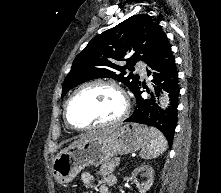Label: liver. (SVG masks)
Here are the masks:
<instances>
[{"label": "liver", "instance_id": "liver-1", "mask_svg": "<svg viewBox=\"0 0 221 193\" xmlns=\"http://www.w3.org/2000/svg\"><path fill=\"white\" fill-rule=\"evenodd\" d=\"M108 131H109V130L107 129V130H98V131L91 132V133H89L88 135H86V136H84L83 138H81L80 140L75 141L74 143H72V145H76V144H78V143H80V142H82L83 140H86V139H88V138H93V137H95V136L102 135V134H104V133H106V132H108ZM72 145H71V146H72Z\"/></svg>", "mask_w": 221, "mask_h": 193}]
</instances>
